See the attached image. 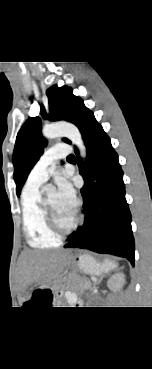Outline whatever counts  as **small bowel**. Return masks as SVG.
Here are the masks:
<instances>
[{"label": "small bowel", "mask_w": 152, "mask_h": 369, "mask_svg": "<svg viewBox=\"0 0 152 369\" xmlns=\"http://www.w3.org/2000/svg\"><path fill=\"white\" fill-rule=\"evenodd\" d=\"M71 300H74V297L73 296L71 297Z\"/></svg>", "instance_id": "1"}]
</instances>
